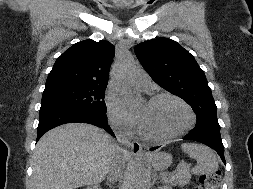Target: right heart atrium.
Here are the masks:
<instances>
[{
	"instance_id": "1",
	"label": "right heart atrium",
	"mask_w": 253,
	"mask_h": 189,
	"mask_svg": "<svg viewBox=\"0 0 253 189\" xmlns=\"http://www.w3.org/2000/svg\"><path fill=\"white\" fill-rule=\"evenodd\" d=\"M111 122L118 128L126 130L130 127L129 116L117 96L109 95L106 100Z\"/></svg>"
}]
</instances>
